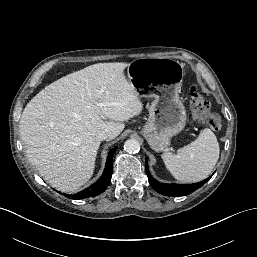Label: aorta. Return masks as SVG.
Here are the masks:
<instances>
[{"instance_id": "1", "label": "aorta", "mask_w": 257, "mask_h": 257, "mask_svg": "<svg viewBox=\"0 0 257 257\" xmlns=\"http://www.w3.org/2000/svg\"><path fill=\"white\" fill-rule=\"evenodd\" d=\"M124 150L129 154L137 153L140 150V144L135 139H128L124 143Z\"/></svg>"}]
</instances>
